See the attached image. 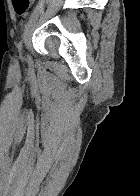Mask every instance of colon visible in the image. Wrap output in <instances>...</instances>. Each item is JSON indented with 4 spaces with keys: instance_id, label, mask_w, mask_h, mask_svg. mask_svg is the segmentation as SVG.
I'll list each match as a JSON object with an SVG mask.
<instances>
[{
    "instance_id": "1",
    "label": "colon",
    "mask_w": 140,
    "mask_h": 196,
    "mask_svg": "<svg viewBox=\"0 0 140 196\" xmlns=\"http://www.w3.org/2000/svg\"><path fill=\"white\" fill-rule=\"evenodd\" d=\"M27 2H29V0L27 1ZM13 3H14V5H15V7L17 6V3H22L21 1H18V0H13Z\"/></svg>"
}]
</instances>
